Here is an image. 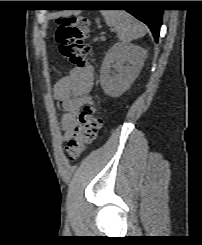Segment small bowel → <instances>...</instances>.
<instances>
[{
  "label": "small bowel",
  "mask_w": 202,
  "mask_h": 245,
  "mask_svg": "<svg viewBox=\"0 0 202 245\" xmlns=\"http://www.w3.org/2000/svg\"><path fill=\"white\" fill-rule=\"evenodd\" d=\"M92 86L93 70L90 66L71 69L68 75L55 84L54 95L64 111L61 122L64 141L73 136L79 125L82 107L92 100L90 96Z\"/></svg>",
  "instance_id": "obj_1"
}]
</instances>
